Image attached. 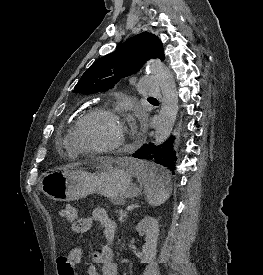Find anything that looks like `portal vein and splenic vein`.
I'll return each instance as SVG.
<instances>
[{
  "label": "portal vein and splenic vein",
  "instance_id": "obj_1",
  "mask_svg": "<svg viewBox=\"0 0 263 275\" xmlns=\"http://www.w3.org/2000/svg\"><path fill=\"white\" fill-rule=\"evenodd\" d=\"M132 209H133L132 206H128V207L126 208L127 211H130V210H132Z\"/></svg>",
  "mask_w": 263,
  "mask_h": 275
}]
</instances>
